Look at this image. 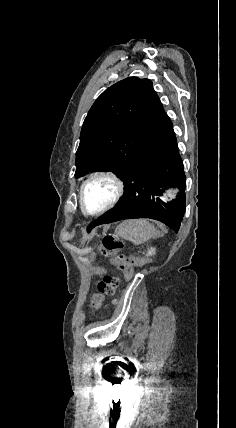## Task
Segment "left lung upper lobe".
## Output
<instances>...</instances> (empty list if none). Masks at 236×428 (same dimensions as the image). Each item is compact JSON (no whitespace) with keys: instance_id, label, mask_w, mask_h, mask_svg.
<instances>
[{"instance_id":"1","label":"left lung upper lobe","mask_w":236,"mask_h":428,"mask_svg":"<svg viewBox=\"0 0 236 428\" xmlns=\"http://www.w3.org/2000/svg\"><path fill=\"white\" fill-rule=\"evenodd\" d=\"M164 113L149 79L129 77L107 88L83 123L75 177L111 171L122 178L148 131Z\"/></svg>"}]
</instances>
